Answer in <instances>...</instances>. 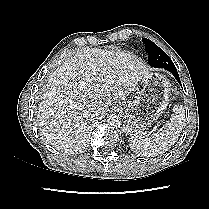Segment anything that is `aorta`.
<instances>
[{"label":"aorta","instance_id":"762f6f07","mask_svg":"<svg viewBox=\"0 0 209 209\" xmlns=\"http://www.w3.org/2000/svg\"><path fill=\"white\" fill-rule=\"evenodd\" d=\"M122 121H123L122 116L119 114L113 113L108 115L107 117V123L112 127L120 126L122 124Z\"/></svg>","mask_w":209,"mask_h":209}]
</instances>
